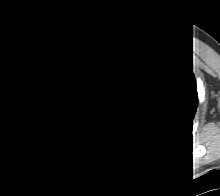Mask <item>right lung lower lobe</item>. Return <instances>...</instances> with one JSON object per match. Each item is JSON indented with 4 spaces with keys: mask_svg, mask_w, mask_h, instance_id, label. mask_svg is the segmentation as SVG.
I'll return each mask as SVG.
<instances>
[{
    "mask_svg": "<svg viewBox=\"0 0 220 196\" xmlns=\"http://www.w3.org/2000/svg\"><path fill=\"white\" fill-rule=\"evenodd\" d=\"M54 129V128H53ZM54 131L56 132V130L54 129ZM57 135H59L60 137L64 138L67 142H70V143H76L78 141H72V140H69L68 138L64 137L63 135L59 134L58 132H56ZM81 141V140H79Z\"/></svg>",
    "mask_w": 220,
    "mask_h": 196,
    "instance_id": "1",
    "label": "right lung lower lobe"
}]
</instances>
